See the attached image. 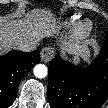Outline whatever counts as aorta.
Instances as JSON below:
<instances>
[{
    "instance_id": "obj_1",
    "label": "aorta",
    "mask_w": 108,
    "mask_h": 108,
    "mask_svg": "<svg viewBox=\"0 0 108 108\" xmlns=\"http://www.w3.org/2000/svg\"><path fill=\"white\" fill-rule=\"evenodd\" d=\"M33 72L37 78H44L47 76L48 69L44 64H37Z\"/></svg>"
}]
</instances>
